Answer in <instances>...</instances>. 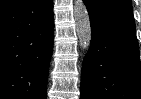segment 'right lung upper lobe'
Instances as JSON below:
<instances>
[{
	"label": "right lung upper lobe",
	"instance_id": "1",
	"mask_svg": "<svg viewBox=\"0 0 141 99\" xmlns=\"http://www.w3.org/2000/svg\"><path fill=\"white\" fill-rule=\"evenodd\" d=\"M18 0H0V9L6 8Z\"/></svg>",
	"mask_w": 141,
	"mask_h": 99
}]
</instances>
